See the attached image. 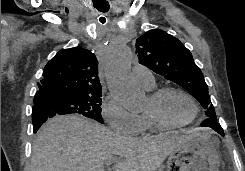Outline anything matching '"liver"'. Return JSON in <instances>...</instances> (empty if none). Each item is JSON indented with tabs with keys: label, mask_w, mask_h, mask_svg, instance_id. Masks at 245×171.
I'll return each mask as SVG.
<instances>
[{
	"label": "liver",
	"mask_w": 245,
	"mask_h": 171,
	"mask_svg": "<svg viewBox=\"0 0 245 171\" xmlns=\"http://www.w3.org/2000/svg\"><path fill=\"white\" fill-rule=\"evenodd\" d=\"M191 135L119 136L78 115L57 116L39 130L32 148L30 171H156Z\"/></svg>",
	"instance_id": "1"
}]
</instances>
